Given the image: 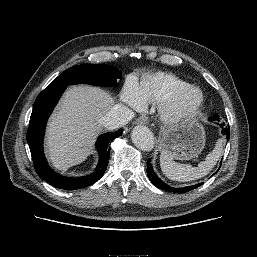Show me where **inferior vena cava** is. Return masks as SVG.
Instances as JSON below:
<instances>
[{
	"mask_svg": "<svg viewBox=\"0 0 257 257\" xmlns=\"http://www.w3.org/2000/svg\"><path fill=\"white\" fill-rule=\"evenodd\" d=\"M133 117L134 113L130 109L116 104L102 117L101 123L108 129H115L126 125Z\"/></svg>",
	"mask_w": 257,
	"mask_h": 257,
	"instance_id": "1",
	"label": "inferior vena cava"
}]
</instances>
